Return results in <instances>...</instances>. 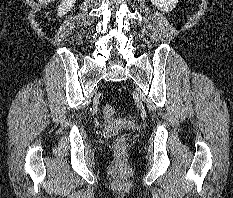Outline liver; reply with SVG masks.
Listing matches in <instances>:
<instances>
[{
	"instance_id": "6515ba94",
	"label": "liver",
	"mask_w": 233,
	"mask_h": 198,
	"mask_svg": "<svg viewBox=\"0 0 233 198\" xmlns=\"http://www.w3.org/2000/svg\"><path fill=\"white\" fill-rule=\"evenodd\" d=\"M41 4L47 5L51 2H53L54 0H38Z\"/></svg>"
}]
</instances>
